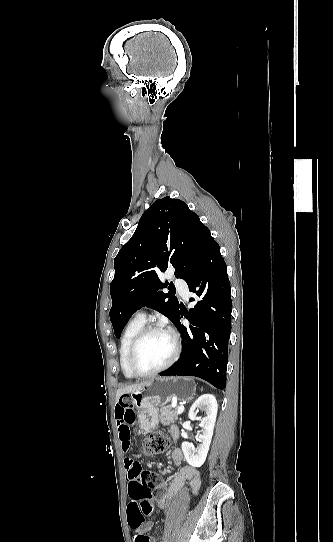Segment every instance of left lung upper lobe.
<instances>
[{"mask_svg": "<svg viewBox=\"0 0 333 542\" xmlns=\"http://www.w3.org/2000/svg\"><path fill=\"white\" fill-rule=\"evenodd\" d=\"M211 238L198 215L179 199H158L143 213L133 236L114 259L109 315L117 338L132 314L144 306L177 322L179 302L171 292L160 290L168 282L163 284L158 273L173 266L175 276L186 280L199 266ZM168 246L170 252L164 253Z\"/></svg>", "mask_w": 333, "mask_h": 542, "instance_id": "left-lung-upper-lobe-1", "label": "left lung upper lobe"}]
</instances>
